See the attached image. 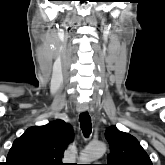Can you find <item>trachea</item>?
Wrapping results in <instances>:
<instances>
[{
	"label": "trachea",
	"instance_id": "3493384b",
	"mask_svg": "<svg viewBox=\"0 0 165 165\" xmlns=\"http://www.w3.org/2000/svg\"><path fill=\"white\" fill-rule=\"evenodd\" d=\"M79 121H80L81 129H82L84 136L88 137L92 131L91 118H90L88 112L81 113L80 117H79Z\"/></svg>",
	"mask_w": 165,
	"mask_h": 165
}]
</instances>
